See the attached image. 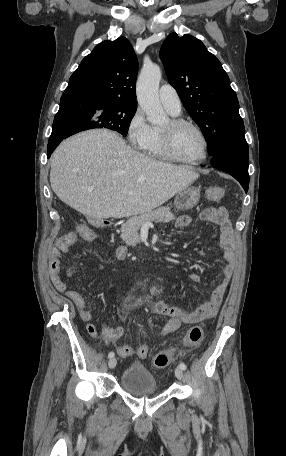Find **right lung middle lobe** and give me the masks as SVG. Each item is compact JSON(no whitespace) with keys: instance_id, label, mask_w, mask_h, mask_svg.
I'll use <instances>...</instances> for the list:
<instances>
[{"instance_id":"right-lung-middle-lobe-1","label":"right lung middle lobe","mask_w":286,"mask_h":456,"mask_svg":"<svg viewBox=\"0 0 286 456\" xmlns=\"http://www.w3.org/2000/svg\"><path fill=\"white\" fill-rule=\"evenodd\" d=\"M135 112L136 106L80 96L73 106L72 117L62 135L67 138L87 129L108 128L126 136Z\"/></svg>"}]
</instances>
